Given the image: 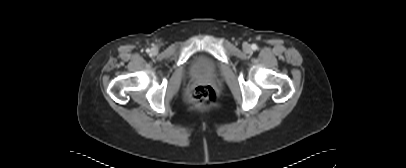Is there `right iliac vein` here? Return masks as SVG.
<instances>
[{"label":"right iliac vein","mask_w":406,"mask_h":168,"mask_svg":"<svg viewBox=\"0 0 406 168\" xmlns=\"http://www.w3.org/2000/svg\"><path fill=\"white\" fill-rule=\"evenodd\" d=\"M151 52H152L153 54H155V53H156V50H155V49H152Z\"/></svg>","instance_id":"63e3f726"}]
</instances>
